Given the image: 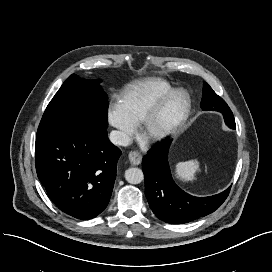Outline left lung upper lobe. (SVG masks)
<instances>
[{
    "mask_svg": "<svg viewBox=\"0 0 272 272\" xmlns=\"http://www.w3.org/2000/svg\"><path fill=\"white\" fill-rule=\"evenodd\" d=\"M201 108L203 110L219 111L221 113L225 112L226 110H230L226 102L220 96H218L206 82L203 83ZM231 124L232 128L236 127L234 120L231 122Z\"/></svg>",
    "mask_w": 272,
    "mask_h": 272,
    "instance_id": "1",
    "label": "left lung upper lobe"
}]
</instances>
